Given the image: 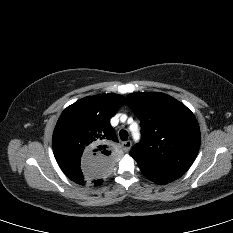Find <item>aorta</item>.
<instances>
[{
	"instance_id": "obj_1",
	"label": "aorta",
	"mask_w": 233,
	"mask_h": 233,
	"mask_svg": "<svg viewBox=\"0 0 233 233\" xmlns=\"http://www.w3.org/2000/svg\"><path fill=\"white\" fill-rule=\"evenodd\" d=\"M133 135H134V137H138V133L133 132Z\"/></svg>"
}]
</instances>
